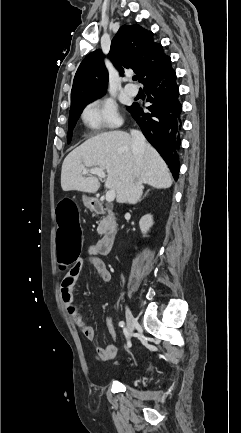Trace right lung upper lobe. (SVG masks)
I'll use <instances>...</instances> for the list:
<instances>
[{
  "mask_svg": "<svg viewBox=\"0 0 241 433\" xmlns=\"http://www.w3.org/2000/svg\"><path fill=\"white\" fill-rule=\"evenodd\" d=\"M108 57L114 66L124 73L123 68H132L138 73L140 82L159 74L170 62L160 43L153 41V33L139 25H123L111 42ZM101 50L87 55L81 62L73 82L71 106L77 102L102 97L106 93L108 72Z\"/></svg>",
  "mask_w": 241,
  "mask_h": 433,
  "instance_id": "1",
  "label": "right lung upper lobe"
}]
</instances>
